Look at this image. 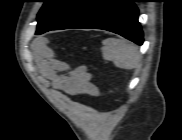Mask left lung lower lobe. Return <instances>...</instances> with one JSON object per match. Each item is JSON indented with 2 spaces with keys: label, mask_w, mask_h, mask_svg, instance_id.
Returning <instances> with one entry per match:
<instances>
[{
  "label": "left lung lower lobe",
  "mask_w": 182,
  "mask_h": 140,
  "mask_svg": "<svg viewBox=\"0 0 182 140\" xmlns=\"http://www.w3.org/2000/svg\"><path fill=\"white\" fill-rule=\"evenodd\" d=\"M134 2V0H105L69 28L108 30L142 45L143 33L138 22V8Z\"/></svg>",
  "instance_id": "left-lung-lower-lobe-1"
}]
</instances>
